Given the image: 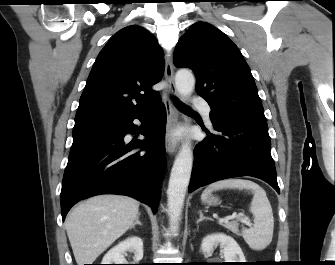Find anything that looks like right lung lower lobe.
I'll use <instances>...</instances> for the list:
<instances>
[{"label": "right lung lower lobe", "mask_w": 335, "mask_h": 265, "mask_svg": "<svg viewBox=\"0 0 335 265\" xmlns=\"http://www.w3.org/2000/svg\"><path fill=\"white\" fill-rule=\"evenodd\" d=\"M134 119L146 122L141 132L146 139L127 142L125 135L137 128ZM165 127L160 100L147 112L73 136L60 194L63 221L75 203L105 193L131 196L156 213L166 167Z\"/></svg>", "instance_id": "obj_1"}]
</instances>
